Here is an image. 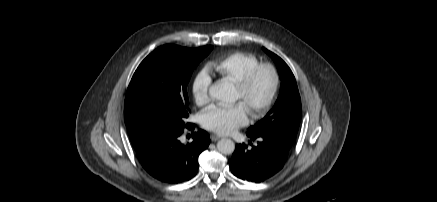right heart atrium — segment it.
Returning a JSON list of instances; mask_svg holds the SVG:
<instances>
[{
    "label": "right heart atrium",
    "instance_id": "obj_1",
    "mask_svg": "<svg viewBox=\"0 0 437 202\" xmlns=\"http://www.w3.org/2000/svg\"><path fill=\"white\" fill-rule=\"evenodd\" d=\"M212 78L207 69L199 70L192 81V95L198 105H205L209 102V90Z\"/></svg>",
    "mask_w": 437,
    "mask_h": 202
}]
</instances>
